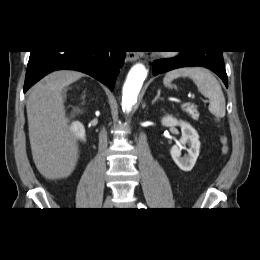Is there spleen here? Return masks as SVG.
Here are the masks:
<instances>
[{"label":"spleen","mask_w":260,"mask_h":260,"mask_svg":"<svg viewBox=\"0 0 260 260\" xmlns=\"http://www.w3.org/2000/svg\"><path fill=\"white\" fill-rule=\"evenodd\" d=\"M179 77L193 80L199 92L209 99V111L217 121L225 116V98L221 85L210 71L200 67L176 69L165 75L163 83L166 87L170 86V83Z\"/></svg>","instance_id":"spleen-1"}]
</instances>
